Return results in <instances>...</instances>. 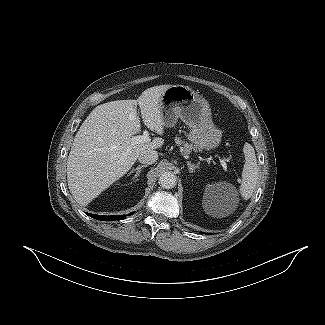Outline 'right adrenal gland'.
<instances>
[{
	"mask_svg": "<svg viewBox=\"0 0 325 325\" xmlns=\"http://www.w3.org/2000/svg\"><path fill=\"white\" fill-rule=\"evenodd\" d=\"M147 167V165H138L135 169H132L130 172H129V175L133 172H136V174L134 175L133 179H135L138 175H140L141 173V170L142 168H145ZM128 175V176H129Z\"/></svg>",
	"mask_w": 325,
	"mask_h": 325,
	"instance_id": "obj_1",
	"label": "right adrenal gland"
}]
</instances>
